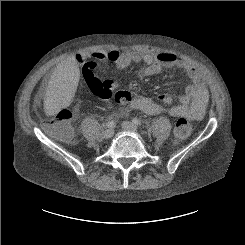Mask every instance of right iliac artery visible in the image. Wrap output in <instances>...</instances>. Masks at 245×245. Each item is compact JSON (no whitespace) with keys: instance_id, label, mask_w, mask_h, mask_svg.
<instances>
[{"instance_id":"1","label":"right iliac artery","mask_w":245,"mask_h":245,"mask_svg":"<svg viewBox=\"0 0 245 245\" xmlns=\"http://www.w3.org/2000/svg\"><path fill=\"white\" fill-rule=\"evenodd\" d=\"M106 125L109 128H113V127H115V122L114 121H109Z\"/></svg>"}]
</instances>
